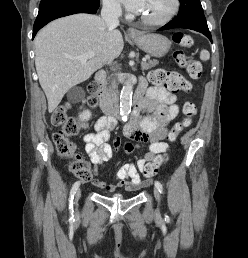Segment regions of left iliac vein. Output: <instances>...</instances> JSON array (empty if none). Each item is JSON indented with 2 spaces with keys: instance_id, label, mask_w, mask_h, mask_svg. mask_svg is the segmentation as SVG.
<instances>
[{
  "instance_id": "left-iliac-vein-1",
  "label": "left iliac vein",
  "mask_w": 248,
  "mask_h": 258,
  "mask_svg": "<svg viewBox=\"0 0 248 258\" xmlns=\"http://www.w3.org/2000/svg\"><path fill=\"white\" fill-rule=\"evenodd\" d=\"M154 196H155L157 202L159 203L160 202V193L156 186L154 187Z\"/></svg>"
}]
</instances>
